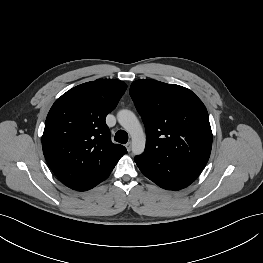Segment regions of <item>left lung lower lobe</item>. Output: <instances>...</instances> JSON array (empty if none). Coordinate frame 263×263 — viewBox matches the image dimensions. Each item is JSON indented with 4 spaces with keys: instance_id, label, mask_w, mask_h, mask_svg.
<instances>
[{
    "instance_id": "obj_1",
    "label": "left lung lower lobe",
    "mask_w": 263,
    "mask_h": 263,
    "mask_svg": "<svg viewBox=\"0 0 263 263\" xmlns=\"http://www.w3.org/2000/svg\"><path fill=\"white\" fill-rule=\"evenodd\" d=\"M141 172L158 186L180 190L189 186L202 170L172 158L141 155L135 158Z\"/></svg>"
}]
</instances>
